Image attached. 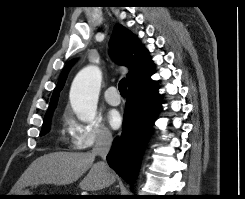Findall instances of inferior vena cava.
Instances as JSON below:
<instances>
[{
  "label": "inferior vena cava",
  "instance_id": "inferior-vena-cava-1",
  "mask_svg": "<svg viewBox=\"0 0 245 199\" xmlns=\"http://www.w3.org/2000/svg\"><path fill=\"white\" fill-rule=\"evenodd\" d=\"M111 144H112V134L108 130H101L97 134L95 145H94L92 152H91L94 156H96V155L101 156L103 161L99 162V164L105 170L108 169V166H107L105 160H106V156H107V154L111 148Z\"/></svg>",
  "mask_w": 245,
  "mask_h": 199
}]
</instances>
